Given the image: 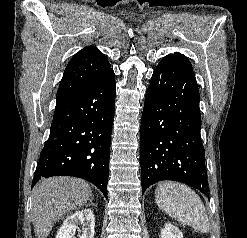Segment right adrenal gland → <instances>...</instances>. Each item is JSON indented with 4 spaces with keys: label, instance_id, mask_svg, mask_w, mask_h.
<instances>
[{
    "label": "right adrenal gland",
    "instance_id": "2a0ac1e0",
    "mask_svg": "<svg viewBox=\"0 0 247 238\" xmlns=\"http://www.w3.org/2000/svg\"><path fill=\"white\" fill-rule=\"evenodd\" d=\"M90 205H93V204H92V199H91V203H90Z\"/></svg>",
    "mask_w": 247,
    "mask_h": 238
}]
</instances>
